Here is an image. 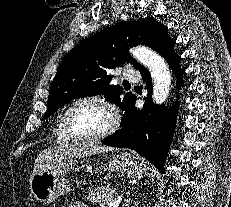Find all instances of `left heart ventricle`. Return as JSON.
Returning a JSON list of instances; mask_svg holds the SVG:
<instances>
[{
    "label": "left heart ventricle",
    "mask_w": 231,
    "mask_h": 207,
    "mask_svg": "<svg viewBox=\"0 0 231 207\" xmlns=\"http://www.w3.org/2000/svg\"><path fill=\"white\" fill-rule=\"evenodd\" d=\"M75 131L81 135H96L108 128L111 122L109 112L101 105L85 102L74 108L70 116Z\"/></svg>",
    "instance_id": "left-heart-ventricle-1"
}]
</instances>
